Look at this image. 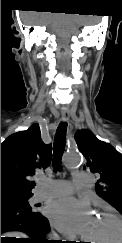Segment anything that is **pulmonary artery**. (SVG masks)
Segmentation results:
<instances>
[{
    "mask_svg": "<svg viewBox=\"0 0 122 243\" xmlns=\"http://www.w3.org/2000/svg\"><path fill=\"white\" fill-rule=\"evenodd\" d=\"M74 180L77 188H83L88 183V176L85 172L75 170ZM73 189L71 182L66 180H52L40 188L36 194V200H44L53 196H62L70 193Z\"/></svg>",
    "mask_w": 122,
    "mask_h": 243,
    "instance_id": "e3ab8cb5",
    "label": "pulmonary artery"
}]
</instances>
